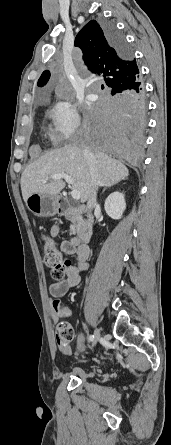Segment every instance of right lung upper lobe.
<instances>
[{
    "instance_id": "1",
    "label": "right lung upper lobe",
    "mask_w": 171,
    "mask_h": 445,
    "mask_svg": "<svg viewBox=\"0 0 171 445\" xmlns=\"http://www.w3.org/2000/svg\"><path fill=\"white\" fill-rule=\"evenodd\" d=\"M74 45L83 51V60L88 69L102 75L111 90L126 88L141 80L136 60L131 53L127 57L118 54L109 43L101 24L95 20L80 30ZM49 77V71H44L38 86H44Z\"/></svg>"
}]
</instances>
